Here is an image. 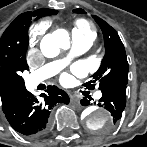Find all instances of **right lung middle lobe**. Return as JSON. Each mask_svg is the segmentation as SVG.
<instances>
[{
	"instance_id": "1",
	"label": "right lung middle lobe",
	"mask_w": 147,
	"mask_h": 147,
	"mask_svg": "<svg viewBox=\"0 0 147 147\" xmlns=\"http://www.w3.org/2000/svg\"><path fill=\"white\" fill-rule=\"evenodd\" d=\"M30 23L27 24L23 29H22V32L24 35H26V37L28 36V27H29Z\"/></svg>"
}]
</instances>
